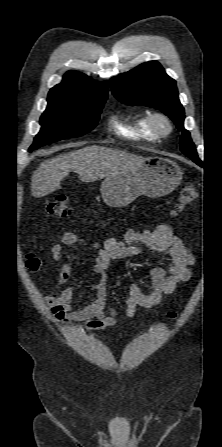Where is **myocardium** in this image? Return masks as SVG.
<instances>
[{"label": "myocardium", "mask_w": 222, "mask_h": 447, "mask_svg": "<svg viewBox=\"0 0 222 447\" xmlns=\"http://www.w3.org/2000/svg\"><path fill=\"white\" fill-rule=\"evenodd\" d=\"M147 123L152 133L158 137H165L173 131L171 119L161 112H153L148 115Z\"/></svg>", "instance_id": "1"}]
</instances>
